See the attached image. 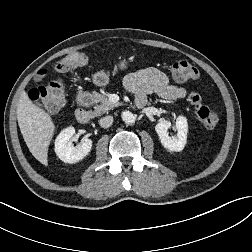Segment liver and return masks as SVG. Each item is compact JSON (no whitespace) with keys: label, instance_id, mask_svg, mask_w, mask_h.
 <instances>
[{"label":"liver","instance_id":"1","mask_svg":"<svg viewBox=\"0 0 252 252\" xmlns=\"http://www.w3.org/2000/svg\"><path fill=\"white\" fill-rule=\"evenodd\" d=\"M17 120L24 141L31 154L43 165H48V147L55 125L51 116L33 104L26 92L20 96Z\"/></svg>","mask_w":252,"mask_h":252}]
</instances>
